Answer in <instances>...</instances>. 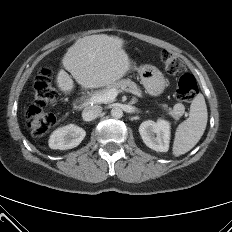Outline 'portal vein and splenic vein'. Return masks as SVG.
Returning a JSON list of instances; mask_svg holds the SVG:
<instances>
[{"mask_svg":"<svg viewBox=\"0 0 232 232\" xmlns=\"http://www.w3.org/2000/svg\"><path fill=\"white\" fill-rule=\"evenodd\" d=\"M118 93H119L118 90L111 89L105 94L92 96L88 101L81 104V107H87L88 105L93 104V103L112 102L117 97Z\"/></svg>","mask_w":232,"mask_h":232,"instance_id":"18ae733b","label":"portal vein and splenic vein"}]
</instances>
